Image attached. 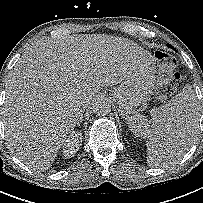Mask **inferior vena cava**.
Listing matches in <instances>:
<instances>
[{"label":"inferior vena cava","instance_id":"inferior-vena-cava-1","mask_svg":"<svg viewBox=\"0 0 203 203\" xmlns=\"http://www.w3.org/2000/svg\"><path fill=\"white\" fill-rule=\"evenodd\" d=\"M83 108H86V105L84 104V102H81Z\"/></svg>","mask_w":203,"mask_h":203}]
</instances>
